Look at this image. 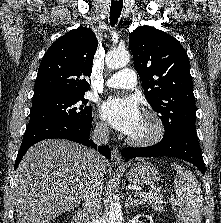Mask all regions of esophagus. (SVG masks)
<instances>
[{
	"mask_svg": "<svg viewBox=\"0 0 221 223\" xmlns=\"http://www.w3.org/2000/svg\"><path fill=\"white\" fill-rule=\"evenodd\" d=\"M111 161L115 164L123 163L122 156L117 148H113V150L111 151Z\"/></svg>",
	"mask_w": 221,
	"mask_h": 223,
	"instance_id": "1",
	"label": "esophagus"
}]
</instances>
